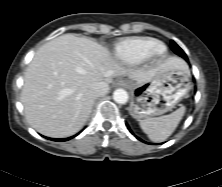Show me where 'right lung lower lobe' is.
<instances>
[{
  "mask_svg": "<svg viewBox=\"0 0 222 187\" xmlns=\"http://www.w3.org/2000/svg\"><path fill=\"white\" fill-rule=\"evenodd\" d=\"M75 136H76V135H75ZM75 136H72V137H70V138H63V139H53V138H48V139L61 142V141H67V140H69V139H71V138H73V137H75Z\"/></svg>",
  "mask_w": 222,
  "mask_h": 187,
  "instance_id": "1",
  "label": "right lung lower lobe"
}]
</instances>
